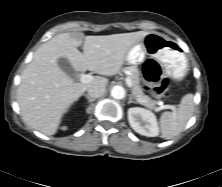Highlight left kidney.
<instances>
[{"label":"left kidney","mask_w":222,"mask_h":187,"mask_svg":"<svg viewBox=\"0 0 222 187\" xmlns=\"http://www.w3.org/2000/svg\"><path fill=\"white\" fill-rule=\"evenodd\" d=\"M128 121L132 129L147 137H156L159 135V126L156 116L151 111L133 107L128 109Z\"/></svg>","instance_id":"5707ae66"}]
</instances>
